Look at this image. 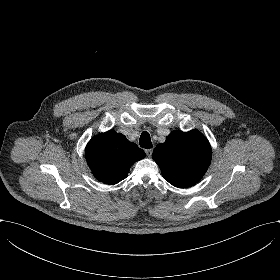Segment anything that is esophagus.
Listing matches in <instances>:
<instances>
[{
    "label": "esophagus",
    "mask_w": 280,
    "mask_h": 280,
    "mask_svg": "<svg viewBox=\"0 0 280 280\" xmlns=\"http://www.w3.org/2000/svg\"><path fill=\"white\" fill-rule=\"evenodd\" d=\"M152 152H153L152 149H145V153H146L148 158H150L152 156Z\"/></svg>",
    "instance_id": "obj_1"
}]
</instances>
